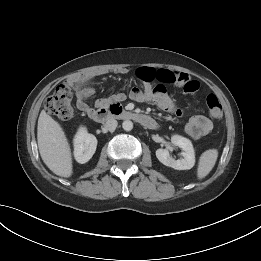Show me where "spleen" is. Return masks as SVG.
<instances>
[{"label":"spleen","instance_id":"spleen-1","mask_svg":"<svg viewBox=\"0 0 261 261\" xmlns=\"http://www.w3.org/2000/svg\"><path fill=\"white\" fill-rule=\"evenodd\" d=\"M218 158V151L216 149H209L202 153L199 158L197 177L203 179L213 169Z\"/></svg>","mask_w":261,"mask_h":261}]
</instances>
